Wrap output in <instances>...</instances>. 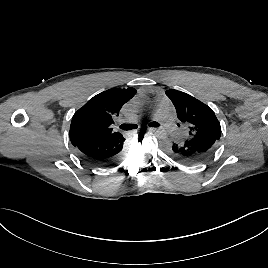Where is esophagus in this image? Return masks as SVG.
Returning <instances> with one entry per match:
<instances>
[{
    "mask_svg": "<svg viewBox=\"0 0 268 268\" xmlns=\"http://www.w3.org/2000/svg\"><path fill=\"white\" fill-rule=\"evenodd\" d=\"M148 130H150V131H153V132H154V131H156V130H157V128H154V127H149V128H148Z\"/></svg>",
    "mask_w": 268,
    "mask_h": 268,
    "instance_id": "obj_1",
    "label": "esophagus"
}]
</instances>
